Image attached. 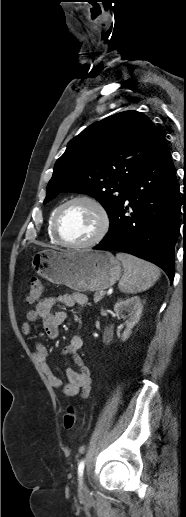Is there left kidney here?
<instances>
[{"label": "left kidney", "instance_id": "5707ae66", "mask_svg": "<svg viewBox=\"0 0 186 517\" xmlns=\"http://www.w3.org/2000/svg\"><path fill=\"white\" fill-rule=\"evenodd\" d=\"M143 305L141 299L138 296L131 297L126 300L118 301L114 305V311L121 315L122 318L126 319V329L122 333L121 340L125 341L129 338L131 330L136 323L140 320ZM123 312L127 313L123 314Z\"/></svg>", "mask_w": 186, "mask_h": 517}]
</instances>
